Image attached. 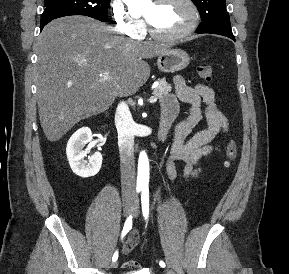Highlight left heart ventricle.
<instances>
[{"mask_svg": "<svg viewBox=\"0 0 289 274\" xmlns=\"http://www.w3.org/2000/svg\"><path fill=\"white\" fill-rule=\"evenodd\" d=\"M143 16L158 32L175 34L189 24L191 13L183 0H169L161 4L150 3L145 8Z\"/></svg>", "mask_w": 289, "mask_h": 274, "instance_id": "obj_1", "label": "left heart ventricle"}]
</instances>
